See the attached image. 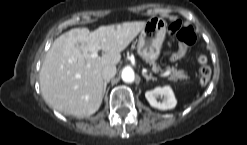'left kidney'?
I'll return each mask as SVG.
<instances>
[{"label":"left kidney","instance_id":"left-kidney-1","mask_svg":"<svg viewBox=\"0 0 247 145\" xmlns=\"http://www.w3.org/2000/svg\"><path fill=\"white\" fill-rule=\"evenodd\" d=\"M158 96H163L164 100L162 102H158ZM145 97L152 107L160 110L173 109L177 104L175 95L169 86L156 87L153 90L147 91L145 93Z\"/></svg>","mask_w":247,"mask_h":145}]
</instances>
